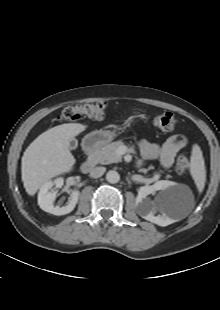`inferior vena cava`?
<instances>
[{
  "label": "inferior vena cava",
  "mask_w": 220,
  "mask_h": 310,
  "mask_svg": "<svg viewBox=\"0 0 220 310\" xmlns=\"http://www.w3.org/2000/svg\"><path fill=\"white\" fill-rule=\"evenodd\" d=\"M105 171H106L105 167H95L90 172V176L92 178H99V177H101L105 173Z\"/></svg>",
  "instance_id": "1"
}]
</instances>
